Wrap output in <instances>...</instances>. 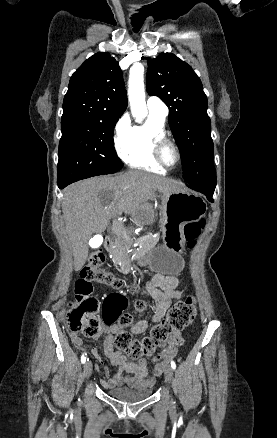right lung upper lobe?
<instances>
[{
  "label": "right lung upper lobe",
  "mask_w": 277,
  "mask_h": 438,
  "mask_svg": "<svg viewBox=\"0 0 277 438\" xmlns=\"http://www.w3.org/2000/svg\"><path fill=\"white\" fill-rule=\"evenodd\" d=\"M126 108L127 92L118 62L109 53H97L72 75L62 118L118 121Z\"/></svg>",
  "instance_id": "right-lung-upper-lobe-1"
}]
</instances>
